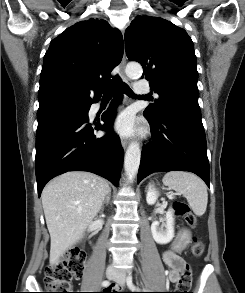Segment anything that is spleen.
Returning a JSON list of instances; mask_svg holds the SVG:
<instances>
[{
  "mask_svg": "<svg viewBox=\"0 0 245 293\" xmlns=\"http://www.w3.org/2000/svg\"><path fill=\"white\" fill-rule=\"evenodd\" d=\"M163 184L182 194L194 214L202 216L207 208L208 193L205 183L189 172L172 171L165 174Z\"/></svg>",
  "mask_w": 245,
  "mask_h": 293,
  "instance_id": "1",
  "label": "spleen"
}]
</instances>
